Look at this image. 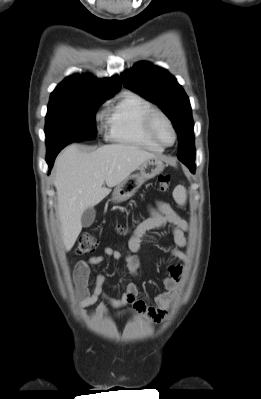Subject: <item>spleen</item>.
Wrapping results in <instances>:
<instances>
[{
  "label": "spleen",
  "instance_id": "spleen-1",
  "mask_svg": "<svg viewBox=\"0 0 261 399\" xmlns=\"http://www.w3.org/2000/svg\"><path fill=\"white\" fill-rule=\"evenodd\" d=\"M173 197L179 205H184L187 199L186 189L183 186H177L173 192Z\"/></svg>",
  "mask_w": 261,
  "mask_h": 399
}]
</instances>
